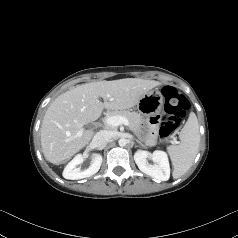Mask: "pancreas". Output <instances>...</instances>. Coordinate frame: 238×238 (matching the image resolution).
Segmentation results:
<instances>
[{
	"instance_id": "cf45deb5",
	"label": "pancreas",
	"mask_w": 238,
	"mask_h": 238,
	"mask_svg": "<svg viewBox=\"0 0 238 238\" xmlns=\"http://www.w3.org/2000/svg\"><path fill=\"white\" fill-rule=\"evenodd\" d=\"M110 116H122L129 121L131 129L137 133L139 128V123L141 120V116L136 112H130L128 110H120V111H113L109 113L108 117Z\"/></svg>"
}]
</instances>
